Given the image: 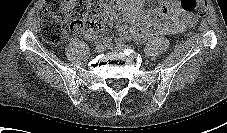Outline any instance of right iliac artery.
I'll list each match as a JSON object with an SVG mask.
<instances>
[{"label": "right iliac artery", "mask_w": 227, "mask_h": 133, "mask_svg": "<svg viewBox=\"0 0 227 133\" xmlns=\"http://www.w3.org/2000/svg\"><path fill=\"white\" fill-rule=\"evenodd\" d=\"M103 44H105L106 46H109V45L111 44V39L105 37V38L103 39Z\"/></svg>", "instance_id": "right-iliac-artery-1"}]
</instances>
